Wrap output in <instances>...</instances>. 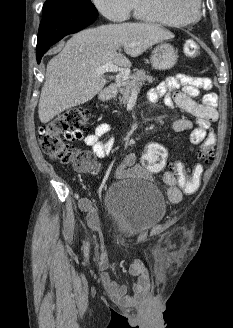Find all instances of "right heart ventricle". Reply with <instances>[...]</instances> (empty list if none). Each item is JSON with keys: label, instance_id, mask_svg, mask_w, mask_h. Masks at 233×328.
Here are the masks:
<instances>
[{"label": "right heart ventricle", "instance_id": "obj_1", "mask_svg": "<svg viewBox=\"0 0 233 328\" xmlns=\"http://www.w3.org/2000/svg\"><path fill=\"white\" fill-rule=\"evenodd\" d=\"M133 16L141 21L158 23L170 27L185 26L169 14L157 9L151 0H133Z\"/></svg>", "mask_w": 233, "mask_h": 328}]
</instances>
